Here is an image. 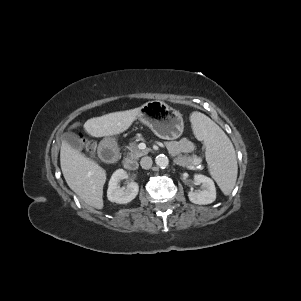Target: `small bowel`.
<instances>
[{
  "label": "small bowel",
  "instance_id": "small-bowel-1",
  "mask_svg": "<svg viewBox=\"0 0 301 301\" xmlns=\"http://www.w3.org/2000/svg\"><path fill=\"white\" fill-rule=\"evenodd\" d=\"M167 147L172 155L178 156L180 154L191 153L195 149V145L188 138L183 137L178 141H170Z\"/></svg>",
  "mask_w": 301,
  "mask_h": 301
}]
</instances>
